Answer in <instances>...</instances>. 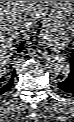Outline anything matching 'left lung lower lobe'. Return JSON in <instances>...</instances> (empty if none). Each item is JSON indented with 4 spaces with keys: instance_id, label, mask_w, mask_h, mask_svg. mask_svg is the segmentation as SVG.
Instances as JSON below:
<instances>
[{
    "instance_id": "obj_1",
    "label": "left lung lower lobe",
    "mask_w": 74,
    "mask_h": 122,
    "mask_svg": "<svg viewBox=\"0 0 74 122\" xmlns=\"http://www.w3.org/2000/svg\"><path fill=\"white\" fill-rule=\"evenodd\" d=\"M70 63H71V72L64 81L58 83V87L59 89L68 94H74V53L72 54Z\"/></svg>"
}]
</instances>
